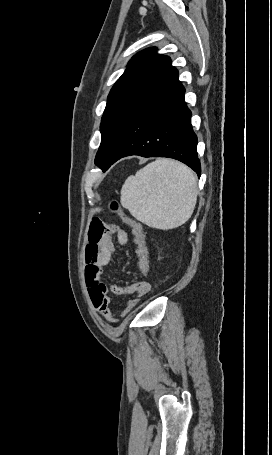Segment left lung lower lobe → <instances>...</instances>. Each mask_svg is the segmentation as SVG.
Here are the masks:
<instances>
[{
    "instance_id": "left-lung-lower-lobe-1",
    "label": "left lung lower lobe",
    "mask_w": 272,
    "mask_h": 455,
    "mask_svg": "<svg viewBox=\"0 0 272 455\" xmlns=\"http://www.w3.org/2000/svg\"><path fill=\"white\" fill-rule=\"evenodd\" d=\"M185 88L178 76L151 99L125 126L100 164L106 171L122 157H168L192 168L200 177L197 136L191 111L184 101Z\"/></svg>"
}]
</instances>
